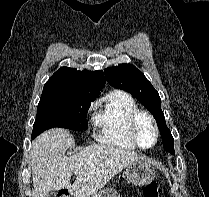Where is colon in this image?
Listing matches in <instances>:
<instances>
[{
    "label": "colon",
    "instance_id": "5ec220e1",
    "mask_svg": "<svg viewBox=\"0 0 209 197\" xmlns=\"http://www.w3.org/2000/svg\"><path fill=\"white\" fill-rule=\"evenodd\" d=\"M57 197H70L67 192L58 193ZM143 197H159L158 185L152 181L143 188Z\"/></svg>",
    "mask_w": 209,
    "mask_h": 197
}]
</instances>
